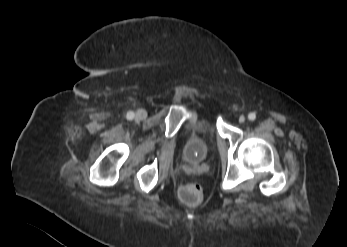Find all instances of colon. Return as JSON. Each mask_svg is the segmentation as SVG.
<instances>
[{
  "label": "colon",
  "instance_id": "obj_1",
  "mask_svg": "<svg viewBox=\"0 0 347 247\" xmlns=\"http://www.w3.org/2000/svg\"><path fill=\"white\" fill-rule=\"evenodd\" d=\"M180 197L188 205H197L203 199V188L197 182L187 183L181 187Z\"/></svg>",
  "mask_w": 347,
  "mask_h": 247
}]
</instances>
